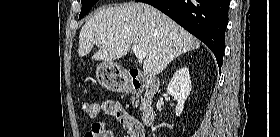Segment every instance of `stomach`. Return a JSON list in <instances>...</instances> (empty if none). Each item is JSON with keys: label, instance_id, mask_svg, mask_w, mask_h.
Here are the masks:
<instances>
[{"label": "stomach", "instance_id": "obj_1", "mask_svg": "<svg viewBox=\"0 0 280 137\" xmlns=\"http://www.w3.org/2000/svg\"><path fill=\"white\" fill-rule=\"evenodd\" d=\"M96 76L99 83L106 89L118 91L123 90L120 85L121 73L117 70V66L112 62H103L98 65Z\"/></svg>", "mask_w": 280, "mask_h": 137}]
</instances>
